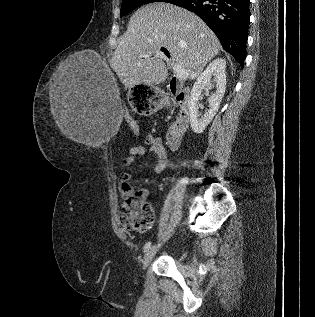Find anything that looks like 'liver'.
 <instances>
[{
  "label": "liver",
  "mask_w": 315,
  "mask_h": 317,
  "mask_svg": "<svg viewBox=\"0 0 315 317\" xmlns=\"http://www.w3.org/2000/svg\"><path fill=\"white\" fill-rule=\"evenodd\" d=\"M165 47L171 60L189 71L195 79L203 67L221 50L211 29L194 13L168 3H152L138 9L110 60V66L125 88L138 84L156 85L165 81L168 68L160 48ZM156 53L155 58H151ZM69 65L66 61L63 68ZM71 99L60 98L58 89L50 99L53 118L67 138L83 143L81 120ZM118 98L115 100V105ZM116 107V106H115Z\"/></svg>",
  "instance_id": "obj_1"
}]
</instances>
